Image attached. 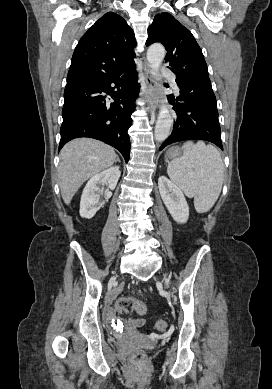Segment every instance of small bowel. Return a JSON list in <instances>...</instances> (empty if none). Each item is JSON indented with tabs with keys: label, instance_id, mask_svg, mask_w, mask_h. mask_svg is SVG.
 Returning a JSON list of instances; mask_svg holds the SVG:
<instances>
[{
	"label": "small bowel",
	"instance_id": "1",
	"mask_svg": "<svg viewBox=\"0 0 272 389\" xmlns=\"http://www.w3.org/2000/svg\"><path fill=\"white\" fill-rule=\"evenodd\" d=\"M108 312H109V314H111L112 313V310L109 308L108 309ZM143 321L142 320H137L136 322H135V324H141Z\"/></svg>",
	"mask_w": 272,
	"mask_h": 389
}]
</instances>
